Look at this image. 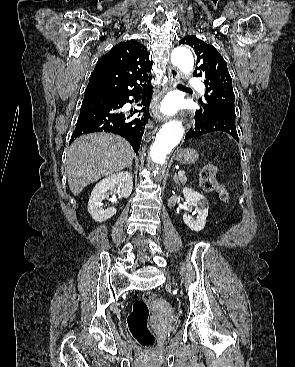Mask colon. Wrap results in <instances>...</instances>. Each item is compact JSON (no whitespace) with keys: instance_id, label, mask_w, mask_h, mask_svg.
<instances>
[{"instance_id":"obj_1","label":"colon","mask_w":295,"mask_h":367,"mask_svg":"<svg viewBox=\"0 0 295 367\" xmlns=\"http://www.w3.org/2000/svg\"><path fill=\"white\" fill-rule=\"evenodd\" d=\"M217 167L207 165L200 173V186L209 193L218 194L222 201H228L229 195L226 188L216 181ZM155 298L154 293L145 292L137 300L127 318V325L134 339L143 347L150 349L155 344V334L149 330L147 321L149 316V303Z\"/></svg>"}]
</instances>
